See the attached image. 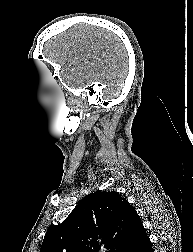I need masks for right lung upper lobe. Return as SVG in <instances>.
I'll use <instances>...</instances> for the list:
<instances>
[{
    "mask_svg": "<svg viewBox=\"0 0 193 252\" xmlns=\"http://www.w3.org/2000/svg\"><path fill=\"white\" fill-rule=\"evenodd\" d=\"M142 229L137 212L124 197L97 191L47 230L40 252H124Z\"/></svg>",
    "mask_w": 193,
    "mask_h": 252,
    "instance_id": "obj_1",
    "label": "right lung upper lobe"
}]
</instances>
